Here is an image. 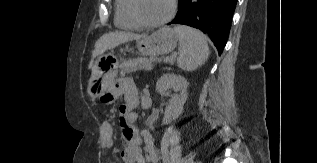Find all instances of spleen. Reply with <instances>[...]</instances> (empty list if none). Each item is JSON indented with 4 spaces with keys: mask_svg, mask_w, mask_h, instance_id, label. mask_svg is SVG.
<instances>
[{
    "mask_svg": "<svg viewBox=\"0 0 317 163\" xmlns=\"http://www.w3.org/2000/svg\"><path fill=\"white\" fill-rule=\"evenodd\" d=\"M174 29L179 39L178 67L185 71L196 70L206 62L210 54L206 36L184 25H176Z\"/></svg>",
    "mask_w": 317,
    "mask_h": 163,
    "instance_id": "obj_1",
    "label": "spleen"
}]
</instances>
